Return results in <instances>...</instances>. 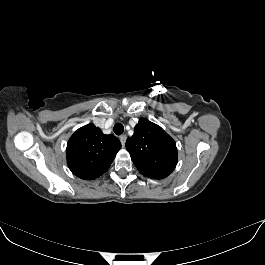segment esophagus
Here are the masks:
<instances>
[{
	"mask_svg": "<svg viewBox=\"0 0 265 265\" xmlns=\"http://www.w3.org/2000/svg\"><path fill=\"white\" fill-rule=\"evenodd\" d=\"M126 139H127V136L126 135H121L120 136V142H121V144H122L123 147L125 146Z\"/></svg>",
	"mask_w": 265,
	"mask_h": 265,
	"instance_id": "obj_1",
	"label": "esophagus"
}]
</instances>
